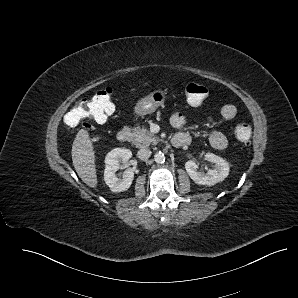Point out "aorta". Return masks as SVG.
<instances>
[{
    "instance_id": "obj_1",
    "label": "aorta",
    "mask_w": 298,
    "mask_h": 298,
    "mask_svg": "<svg viewBox=\"0 0 298 298\" xmlns=\"http://www.w3.org/2000/svg\"><path fill=\"white\" fill-rule=\"evenodd\" d=\"M154 160L156 163H163L165 160V156L163 153L158 152L154 155Z\"/></svg>"
}]
</instances>
